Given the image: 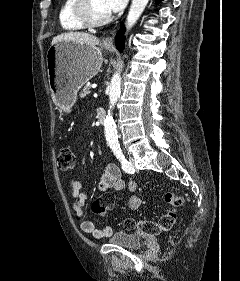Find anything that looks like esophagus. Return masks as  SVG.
<instances>
[{
  "mask_svg": "<svg viewBox=\"0 0 240 281\" xmlns=\"http://www.w3.org/2000/svg\"><path fill=\"white\" fill-rule=\"evenodd\" d=\"M113 41H114V38L111 36V37H107L104 41H103V44L105 46H112L113 45Z\"/></svg>",
  "mask_w": 240,
  "mask_h": 281,
  "instance_id": "obj_1",
  "label": "esophagus"
}]
</instances>
